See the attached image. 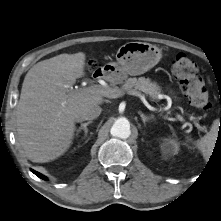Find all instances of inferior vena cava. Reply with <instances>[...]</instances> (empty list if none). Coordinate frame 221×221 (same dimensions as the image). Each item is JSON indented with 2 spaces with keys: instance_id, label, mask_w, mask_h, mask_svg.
<instances>
[{
  "instance_id": "1",
  "label": "inferior vena cava",
  "mask_w": 221,
  "mask_h": 221,
  "mask_svg": "<svg viewBox=\"0 0 221 221\" xmlns=\"http://www.w3.org/2000/svg\"><path fill=\"white\" fill-rule=\"evenodd\" d=\"M101 111L102 109L98 104L87 105L81 110L80 114L77 116V120H93L100 115Z\"/></svg>"
}]
</instances>
